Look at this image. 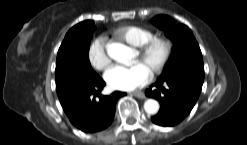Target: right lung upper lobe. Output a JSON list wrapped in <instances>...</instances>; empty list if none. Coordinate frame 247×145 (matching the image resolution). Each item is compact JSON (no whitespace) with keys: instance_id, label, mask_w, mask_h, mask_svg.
<instances>
[{"instance_id":"obj_1","label":"right lung upper lobe","mask_w":247,"mask_h":145,"mask_svg":"<svg viewBox=\"0 0 247 145\" xmlns=\"http://www.w3.org/2000/svg\"><path fill=\"white\" fill-rule=\"evenodd\" d=\"M92 24H94L93 21H84V22H81V23L75 25V26L72 27V28L75 29V28H79V27L90 26V25H92Z\"/></svg>"}]
</instances>
